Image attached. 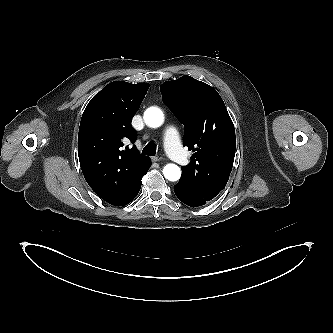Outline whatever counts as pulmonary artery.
Wrapping results in <instances>:
<instances>
[{
    "label": "pulmonary artery",
    "instance_id": "e3ab8cb5",
    "mask_svg": "<svg viewBox=\"0 0 333 333\" xmlns=\"http://www.w3.org/2000/svg\"><path fill=\"white\" fill-rule=\"evenodd\" d=\"M164 145L167 153L178 163H186L187 158L181 146L178 130L174 126H168L164 131Z\"/></svg>",
    "mask_w": 333,
    "mask_h": 333
}]
</instances>
